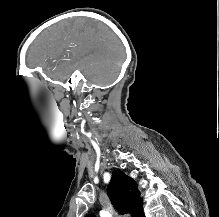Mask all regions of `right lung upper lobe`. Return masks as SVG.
Here are the masks:
<instances>
[{"mask_svg":"<svg viewBox=\"0 0 219 217\" xmlns=\"http://www.w3.org/2000/svg\"><path fill=\"white\" fill-rule=\"evenodd\" d=\"M114 208L120 214L130 213L132 217H144L143 202L136 182L122 171H114L107 189ZM86 217H95L90 214Z\"/></svg>","mask_w":219,"mask_h":217,"instance_id":"cb5924a9","label":"right lung upper lobe"}]
</instances>
